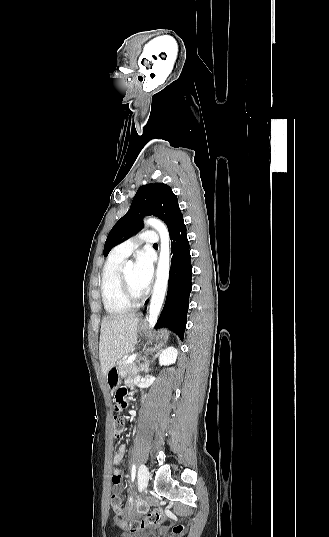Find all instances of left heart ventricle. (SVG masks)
I'll return each instance as SVG.
<instances>
[{
	"label": "left heart ventricle",
	"instance_id": "left-heart-ventricle-1",
	"mask_svg": "<svg viewBox=\"0 0 329 537\" xmlns=\"http://www.w3.org/2000/svg\"><path fill=\"white\" fill-rule=\"evenodd\" d=\"M125 277L128 283L130 292L135 296H140L144 293L138 286L135 278V267L133 265H128L124 269Z\"/></svg>",
	"mask_w": 329,
	"mask_h": 537
}]
</instances>
